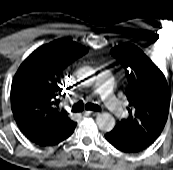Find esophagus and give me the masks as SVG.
<instances>
[{"mask_svg":"<svg viewBox=\"0 0 173 170\" xmlns=\"http://www.w3.org/2000/svg\"><path fill=\"white\" fill-rule=\"evenodd\" d=\"M83 114L85 116H97V115H99V112H97V111H84Z\"/></svg>","mask_w":173,"mask_h":170,"instance_id":"34e87169","label":"esophagus"}]
</instances>
